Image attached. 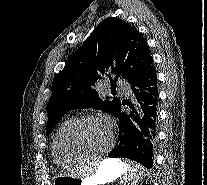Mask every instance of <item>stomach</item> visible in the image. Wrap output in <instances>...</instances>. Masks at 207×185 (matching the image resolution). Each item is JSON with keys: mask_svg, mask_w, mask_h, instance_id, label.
Listing matches in <instances>:
<instances>
[{"mask_svg": "<svg viewBox=\"0 0 207 185\" xmlns=\"http://www.w3.org/2000/svg\"><path fill=\"white\" fill-rule=\"evenodd\" d=\"M125 165L118 159H105L96 172L86 178H74L66 175L57 176L52 185H105L123 175Z\"/></svg>", "mask_w": 207, "mask_h": 185, "instance_id": "obj_1", "label": "stomach"}]
</instances>
